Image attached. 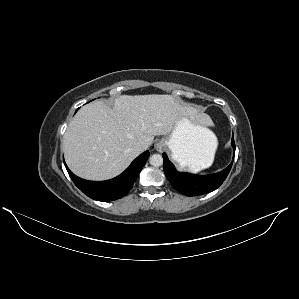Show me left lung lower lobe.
Wrapping results in <instances>:
<instances>
[{"instance_id":"obj_1","label":"left lung lower lobe","mask_w":299,"mask_h":299,"mask_svg":"<svg viewBox=\"0 0 299 299\" xmlns=\"http://www.w3.org/2000/svg\"><path fill=\"white\" fill-rule=\"evenodd\" d=\"M231 144L235 155L234 137H232ZM162 157L164 159V173L167 179L173 188L186 196H197L217 189L226 179L233 164L232 160L231 164L223 171L212 175L202 176L178 172L173 164L168 160L165 153L162 154Z\"/></svg>"}]
</instances>
